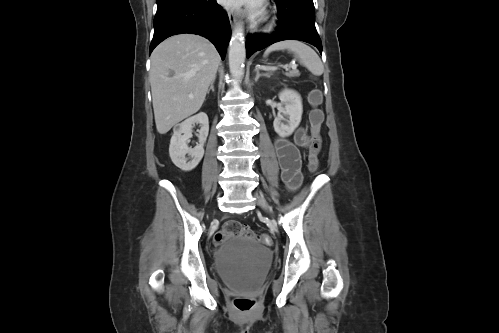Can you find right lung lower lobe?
<instances>
[{"label": "right lung lower lobe", "instance_id": "obj_1", "mask_svg": "<svg viewBox=\"0 0 499 333\" xmlns=\"http://www.w3.org/2000/svg\"><path fill=\"white\" fill-rule=\"evenodd\" d=\"M157 5L149 53L172 35L190 33L209 39L224 59L231 28L216 0H157Z\"/></svg>", "mask_w": 499, "mask_h": 333}]
</instances>
